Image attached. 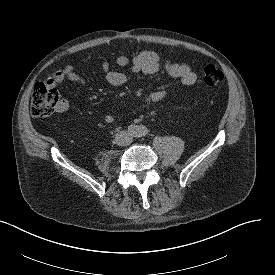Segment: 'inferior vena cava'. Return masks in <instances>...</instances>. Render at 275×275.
<instances>
[{"label":"inferior vena cava","instance_id":"602c4592","mask_svg":"<svg viewBox=\"0 0 275 275\" xmlns=\"http://www.w3.org/2000/svg\"><path fill=\"white\" fill-rule=\"evenodd\" d=\"M115 143L120 146H125L131 143L132 138L126 131H120L116 134Z\"/></svg>","mask_w":275,"mask_h":275}]
</instances>
